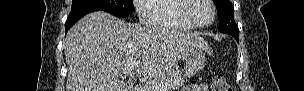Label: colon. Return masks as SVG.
Segmentation results:
<instances>
[{
  "label": "colon",
  "instance_id": "colon-1",
  "mask_svg": "<svg viewBox=\"0 0 304 91\" xmlns=\"http://www.w3.org/2000/svg\"><path fill=\"white\" fill-rule=\"evenodd\" d=\"M212 90L213 91H231L228 83L220 76H216L212 82Z\"/></svg>",
  "mask_w": 304,
  "mask_h": 91
}]
</instances>
